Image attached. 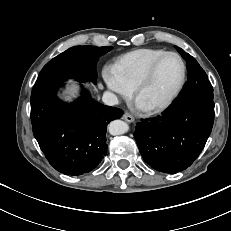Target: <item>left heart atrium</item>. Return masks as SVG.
<instances>
[{
    "instance_id": "39dd6f15",
    "label": "left heart atrium",
    "mask_w": 231,
    "mask_h": 231,
    "mask_svg": "<svg viewBox=\"0 0 231 231\" xmlns=\"http://www.w3.org/2000/svg\"><path fill=\"white\" fill-rule=\"evenodd\" d=\"M135 106L138 109L144 110L146 107L137 99L135 102Z\"/></svg>"
}]
</instances>
